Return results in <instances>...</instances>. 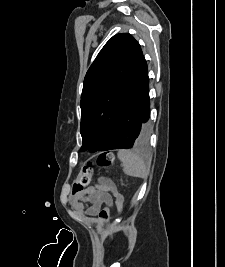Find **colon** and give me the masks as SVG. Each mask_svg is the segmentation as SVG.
<instances>
[{"label":"colon","instance_id":"obj_1","mask_svg":"<svg viewBox=\"0 0 225 267\" xmlns=\"http://www.w3.org/2000/svg\"><path fill=\"white\" fill-rule=\"evenodd\" d=\"M115 162V156L112 152H101L95 161H88L82 167L80 174L75 182L74 189L76 192H82L86 190L91 182L94 166H98L100 168H109ZM124 206V197L118 199V207L122 209ZM98 217L102 223L107 225L110 220V208L108 204H105L102 209L99 211Z\"/></svg>","mask_w":225,"mask_h":267}]
</instances>
